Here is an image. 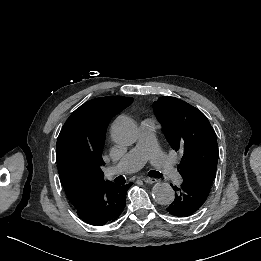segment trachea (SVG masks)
<instances>
[{
    "label": "trachea",
    "mask_w": 261,
    "mask_h": 261,
    "mask_svg": "<svg viewBox=\"0 0 261 261\" xmlns=\"http://www.w3.org/2000/svg\"><path fill=\"white\" fill-rule=\"evenodd\" d=\"M148 175L152 178H161L162 174L158 171L151 170L148 172Z\"/></svg>",
    "instance_id": "1"
}]
</instances>
